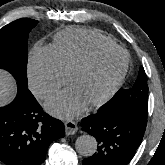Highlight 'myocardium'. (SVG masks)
Segmentation results:
<instances>
[{
	"mask_svg": "<svg viewBox=\"0 0 165 165\" xmlns=\"http://www.w3.org/2000/svg\"><path fill=\"white\" fill-rule=\"evenodd\" d=\"M109 51H118V52L122 53L124 56V65H123L120 73L117 75V77L114 79V81L110 84L108 89L99 98L87 103L89 106L94 107V106H101V105L105 104L118 91V89L120 88V86L122 85V83L126 77V74L128 72V68H129L130 59H129V55H128L127 51L117 44L96 47V48L92 49L78 64H76L69 74L70 82L73 85L76 77L82 71H84L89 66H91V64L96 60V58L100 54L109 52Z\"/></svg>",
	"mask_w": 165,
	"mask_h": 165,
	"instance_id": "f54148a6",
	"label": "myocardium"
}]
</instances>
